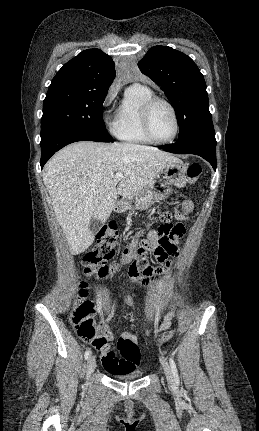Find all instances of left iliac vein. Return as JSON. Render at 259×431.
Returning a JSON list of instances; mask_svg holds the SVG:
<instances>
[{"label":"left iliac vein","mask_w":259,"mask_h":431,"mask_svg":"<svg viewBox=\"0 0 259 431\" xmlns=\"http://www.w3.org/2000/svg\"><path fill=\"white\" fill-rule=\"evenodd\" d=\"M162 365L168 384L174 385V376L169 364L164 361Z\"/></svg>","instance_id":"1"}]
</instances>
